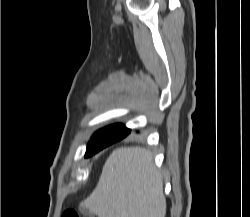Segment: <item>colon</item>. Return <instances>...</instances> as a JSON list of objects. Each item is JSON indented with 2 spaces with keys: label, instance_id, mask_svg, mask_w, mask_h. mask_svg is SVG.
Instances as JSON below:
<instances>
[{
  "label": "colon",
  "instance_id": "colon-1",
  "mask_svg": "<svg viewBox=\"0 0 250 217\" xmlns=\"http://www.w3.org/2000/svg\"><path fill=\"white\" fill-rule=\"evenodd\" d=\"M62 217H84L78 211L74 209L67 210L63 213Z\"/></svg>",
  "mask_w": 250,
  "mask_h": 217
}]
</instances>
